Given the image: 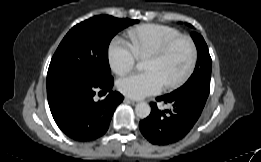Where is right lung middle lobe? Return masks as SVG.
<instances>
[{"instance_id": "obj_1", "label": "right lung middle lobe", "mask_w": 261, "mask_h": 162, "mask_svg": "<svg viewBox=\"0 0 261 162\" xmlns=\"http://www.w3.org/2000/svg\"><path fill=\"white\" fill-rule=\"evenodd\" d=\"M138 20L98 15L74 26L63 38L49 65L47 87L69 78L100 84L111 78L107 50L111 39Z\"/></svg>"}]
</instances>
